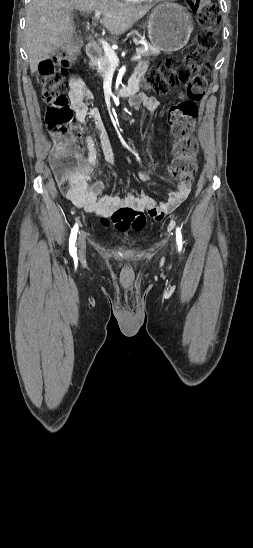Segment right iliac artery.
Instances as JSON below:
<instances>
[{
    "instance_id": "obj_1",
    "label": "right iliac artery",
    "mask_w": 253,
    "mask_h": 548,
    "mask_svg": "<svg viewBox=\"0 0 253 548\" xmlns=\"http://www.w3.org/2000/svg\"><path fill=\"white\" fill-rule=\"evenodd\" d=\"M77 232H78V224H75L72 231H71L70 238H69V251H70V255L72 257L77 256V254H76L77 248L75 247V242H76V239H77Z\"/></svg>"
}]
</instances>
